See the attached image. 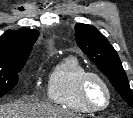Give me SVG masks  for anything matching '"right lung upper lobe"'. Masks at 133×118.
<instances>
[{"instance_id":"1","label":"right lung upper lobe","mask_w":133,"mask_h":118,"mask_svg":"<svg viewBox=\"0 0 133 118\" xmlns=\"http://www.w3.org/2000/svg\"><path fill=\"white\" fill-rule=\"evenodd\" d=\"M39 32L27 28L7 30L0 36V65H13L27 61Z\"/></svg>"}]
</instances>
